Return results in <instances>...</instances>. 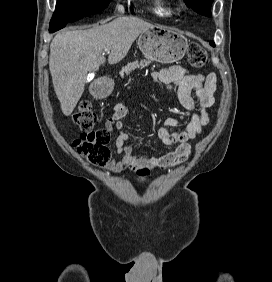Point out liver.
Returning <instances> with one entry per match:
<instances>
[{"mask_svg":"<svg viewBox=\"0 0 272 282\" xmlns=\"http://www.w3.org/2000/svg\"><path fill=\"white\" fill-rule=\"evenodd\" d=\"M154 27L138 17L123 16L87 30L59 32L51 42L49 69L61 110L69 116L80 100L89 72L106 62L101 56L109 48L108 62L121 61L135 39Z\"/></svg>","mask_w":272,"mask_h":282,"instance_id":"obj_1","label":"liver"}]
</instances>
